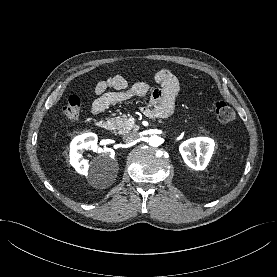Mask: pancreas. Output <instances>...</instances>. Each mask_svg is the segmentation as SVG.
<instances>
[{"label":"pancreas","instance_id":"cf45deb5","mask_svg":"<svg viewBox=\"0 0 277 277\" xmlns=\"http://www.w3.org/2000/svg\"><path fill=\"white\" fill-rule=\"evenodd\" d=\"M113 130L117 131L118 134H125L131 131L138 130V127L130 125L128 117L126 115L112 118Z\"/></svg>","mask_w":277,"mask_h":277}]
</instances>
